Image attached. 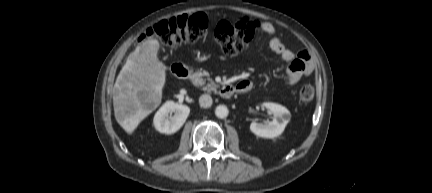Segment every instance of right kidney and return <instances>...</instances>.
<instances>
[{
    "instance_id": "ca27d5eb",
    "label": "right kidney",
    "mask_w": 432,
    "mask_h": 193,
    "mask_svg": "<svg viewBox=\"0 0 432 193\" xmlns=\"http://www.w3.org/2000/svg\"><path fill=\"white\" fill-rule=\"evenodd\" d=\"M172 112L173 116L170 114ZM189 113L188 106L167 101L155 114L153 123L159 132L173 134L183 126Z\"/></svg>"
}]
</instances>
